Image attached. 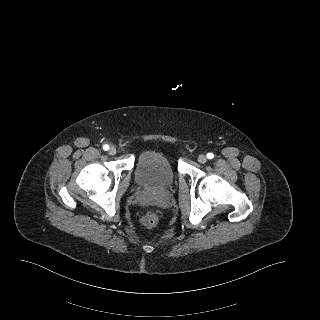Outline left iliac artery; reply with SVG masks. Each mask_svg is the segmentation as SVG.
<instances>
[{"label": "left iliac artery", "instance_id": "left-iliac-artery-1", "mask_svg": "<svg viewBox=\"0 0 320 320\" xmlns=\"http://www.w3.org/2000/svg\"><path fill=\"white\" fill-rule=\"evenodd\" d=\"M214 157V154L213 153H207V158L208 159H212Z\"/></svg>", "mask_w": 320, "mask_h": 320}]
</instances>
